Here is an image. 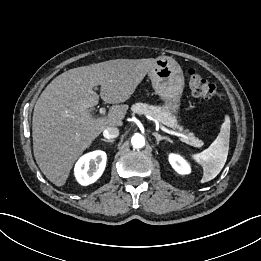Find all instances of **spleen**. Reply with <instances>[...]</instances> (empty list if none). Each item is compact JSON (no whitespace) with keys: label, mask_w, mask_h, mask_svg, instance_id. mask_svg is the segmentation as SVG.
<instances>
[{"label":"spleen","mask_w":261,"mask_h":261,"mask_svg":"<svg viewBox=\"0 0 261 261\" xmlns=\"http://www.w3.org/2000/svg\"><path fill=\"white\" fill-rule=\"evenodd\" d=\"M230 119L223 122L216 140L201 153L192 154V158L203 168L201 183L214 179L223 169L229 151Z\"/></svg>","instance_id":"1"}]
</instances>
